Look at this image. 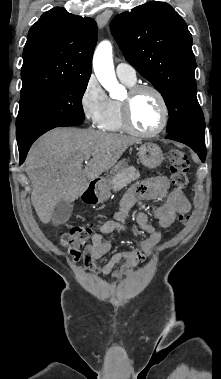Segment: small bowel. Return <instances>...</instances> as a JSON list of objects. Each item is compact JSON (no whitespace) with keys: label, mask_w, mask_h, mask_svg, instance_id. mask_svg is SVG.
<instances>
[{"label":"small bowel","mask_w":221,"mask_h":379,"mask_svg":"<svg viewBox=\"0 0 221 379\" xmlns=\"http://www.w3.org/2000/svg\"><path fill=\"white\" fill-rule=\"evenodd\" d=\"M162 199H165L164 203L156 212V220L161 228L169 227L178 214L188 213L191 209V203L186 193L180 188L173 187L168 177L157 176L137 181L121 199L119 210L93 234L92 243L86 255V266L104 277L111 275L117 280L130 276L135 266L152 255L161 241V233L149 222L146 213H138L137 225L146 233L140 247L116 252L105 265L99 267L95 263L96 260L111 250V244L105 241L103 236L117 230H124L125 220L138 201ZM118 264L121 265L120 269L113 271V268Z\"/></svg>","instance_id":"obj_1"}]
</instances>
